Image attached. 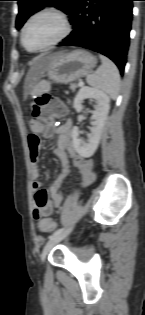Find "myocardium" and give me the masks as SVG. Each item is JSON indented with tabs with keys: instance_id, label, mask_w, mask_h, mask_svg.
Here are the masks:
<instances>
[{
	"instance_id": "obj_1",
	"label": "myocardium",
	"mask_w": 145,
	"mask_h": 315,
	"mask_svg": "<svg viewBox=\"0 0 145 315\" xmlns=\"http://www.w3.org/2000/svg\"><path fill=\"white\" fill-rule=\"evenodd\" d=\"M40 16H51L56 18L61 26V31L58 34L57 37H55L52 41L48 42L47 44L41 46V47H37V48H30L27 46L26 42H25V32L26 29L29 25V23ZM70 33V22L68 17L61 11L54 9V8H46V9H42L39 10L33 14H31L26 21L24 22L22 29H21V43L23 45V47L29 51V52H39V51H45L47 49H50L51 47L59 44L61 41H63Z\"/></svg>"
}]
</instances>
